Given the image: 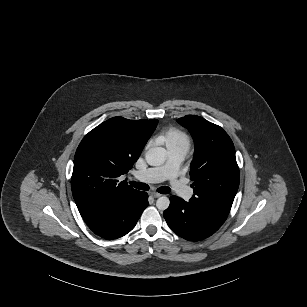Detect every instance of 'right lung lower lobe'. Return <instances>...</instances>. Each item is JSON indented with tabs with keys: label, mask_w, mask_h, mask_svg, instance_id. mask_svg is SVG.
<instances>
[{
	"label": "right lung lower lobe",
	"mask_w": 307,
	"mask_h": 307,
	"mask_svg": "<svg viewBox=\"0 0 307 307\" xmlns=\"http://www.w3.org/2000/svg\"><path fill=\"white\" fill-rule=\"evenodd\" d=\"M147 206L148 194L136 191L83 219L96 235L105 239H116L134 228Z\"/></svg>",
	"instance_id": "1"
}]
</instances>
